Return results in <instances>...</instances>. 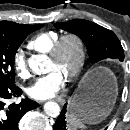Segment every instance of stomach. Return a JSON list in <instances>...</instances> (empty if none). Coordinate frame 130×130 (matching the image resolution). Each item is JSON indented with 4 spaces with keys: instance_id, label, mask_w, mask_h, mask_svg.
I'll return each instance as SVG.
<instances>
[{
    "instance_id": "obj_1",
    "label": "stomach",
    "mask_w": 130,
    "mask_h": 130,
    "mask_svg": "<svg viewBox=\"0 0 130 130\" xmlns=\"http://www.w3.org/2000/svg\"><path fill=\"white\" fill-rule=\"evenodd\" d=\"M89 80L98 86L92 87L91 92H86ZM104 82H108V85L102 86ZM116 97L117 83L114 75L108 69L100 67L82 82L79 93L71 101L70 114L84 123H97L111 112Z\"/></svg>"
}]
</instances>
